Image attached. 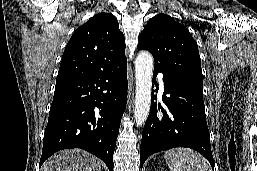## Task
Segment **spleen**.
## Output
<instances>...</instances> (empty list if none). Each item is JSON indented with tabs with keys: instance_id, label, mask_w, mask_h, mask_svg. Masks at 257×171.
<instances>
[{
	"instance_id": "1",
	"label": "spleen",
	"mask_w": 257,
	"mask_h": 171,
	"mask_svg": "<svg viewBox=\"0 0 257 171\" xmlns=\"http://www.w3.org/2000/svg\"><path fill=\"white\" fill-rule=\"evenodd\" d=\"M164 158L171 171H210L206 159L188 148L166 151Z\"/></svg>"
}]
</instances>
